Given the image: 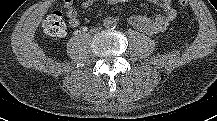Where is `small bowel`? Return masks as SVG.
Instances as JSON below:
<instances>
[{
	"label": "small bowel",
	"instance_id": "obj_1",
	"mask_svg": "<svg viewBox=\"0 0 217 121\" xmlns=\"http://www.w3.org/2000/svg\"><path fill=\"white\" fill-rule=\"evenodd\" d=\"M98 0H84L82 6L87 8L91 6L94 2ZM108 4L115 5L129 0H106ZM152 3H156L158 0H148ZM64 8L66 9V14L69 20L71 27H77L80 23L78 12L74 7V0H63ZM160 7L163 11V14L157 16L154 19H149L143 15H134L130 17V23L147 33L158 32L165 27H167L171 22L176 18V11L171 4V0H160Z\"/></svg>",
	"mask_w": 217,
	"mask_h": 121
}]
</instances>
